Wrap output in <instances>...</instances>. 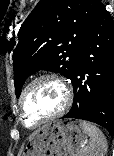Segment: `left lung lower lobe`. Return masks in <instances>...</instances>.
<instances>
[{
  "label": "left lung lower lobe",
  "mask_w": 114,
  "mask_h": 156,
  "mask_svg": "<svg viewBox=\"0 0 114 156\" xmlns=\"http://www.w3.org/2000/svg\"><path fill=\"white\" fill-rule=\"evenodd\" d=\"M74 102L63 118L91 121L114 133V21L100 2L71 79Z\"/></svg>",
  "instance_id": "left-lung-lower-lobe-1"
}]
</instances>
